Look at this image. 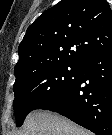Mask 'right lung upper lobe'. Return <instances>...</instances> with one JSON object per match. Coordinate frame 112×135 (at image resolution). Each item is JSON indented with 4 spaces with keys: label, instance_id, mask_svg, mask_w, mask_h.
Masks as SVG:
<instances>
[{
    "label": "right lung upper lobe",
    "instance_id": "cb5924a9",
    "mask_svg": "<svg viewBox=\"0 0 112 135\" xmlns=\"http://www.w3.org/2000/svg\"><path fill=\"white\" fill-rule=\"evenodd\" d=\"M112 49V10L106 0H61L27 29L16 78L48 63L83 60Z\"/></svg>",
    "mask_w": 112,
    "mask_h": 135
}]
</instances>
